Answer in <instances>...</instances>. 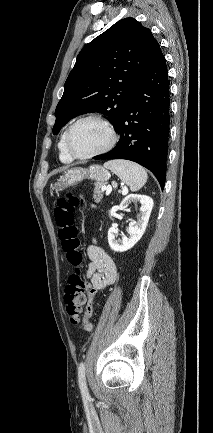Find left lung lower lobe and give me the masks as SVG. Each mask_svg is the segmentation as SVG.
Here are the masks:
<instances>
[{"label":"left lung lower lobe","instance_id":"1","mask_svg":"<svg viewBox=\"0 0 213 433\" xmlns=\"http://www.w3.org/2000/svg\"><path fill=\"white\" fill-rule=\"evenodd\" d=\"M169 81L165 58L158 51L151 67L130 96L116 131L117 145L93 159H126L149 169L164 188L169 138Z\"/></svg>","mask_w":213,"mask_h":433}]
</instances>
